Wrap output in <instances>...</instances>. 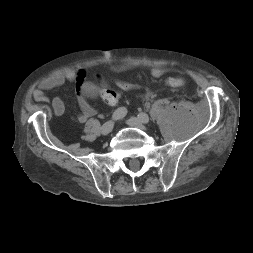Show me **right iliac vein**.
<instances>
[{"label":"right iliac vein","mask_w":253,"mask_h":253,"mask_svg":"<svg viewBox=\"0 0 253 253\" xmlns=\"http://www.w3.org/2000/svg\"><path fill=\"white\" fill-rule=\"evenodd\" d=\"M113 126H114V122L113 121H107L101 128V133L103 135H108L112 129H113Z\"/></svg>","instance_id":"right-iliac-vein-1"}]
</instances>
